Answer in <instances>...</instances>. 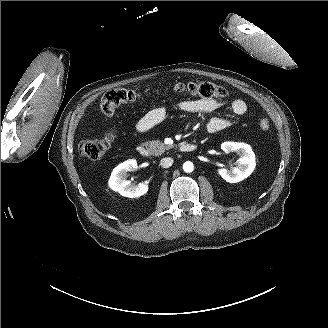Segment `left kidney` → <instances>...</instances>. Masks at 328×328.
<instances>
[{
    "mask_svg": "<svg viewBox=\"0 0 328 328\" xmlns=\"http://www.w3.org/2000/svg\"><path fill=\"white\" fill-rule=\"evenodd\" d=\"M221 149L225 154L236 152L240 156L237 168L232 170L220 168L217 170L218 175L226 182L231 184L241 182L254 172L256 167L255 154L248 144L227 141L221 144Z\"/></svg>",
    "mask_w": 328,
    "mask_h": 328,
    "instance_id": "1",
    "label": "left kidney"
}]
</instances>
